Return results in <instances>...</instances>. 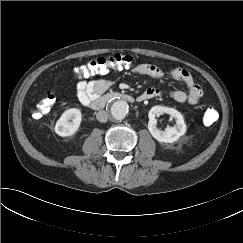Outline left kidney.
Instances as JSON below:
<instances>
[{
  "instance_id": "5707ae66",
  "label": "left kidney",
  "mask_w": 243,
  "mask_h": 243,
  "mask_svg": "<svg viewBox=\"0 0 243 243\" xmlns=\"http://www.w3.org/2000/svg\"><path fill=\"white\" fill-rule=\"evenodd\" d=\"M163 113L169 114L171 117H173L176 121V124L173 127L168 126L165 130L162 131L157 128V121L155 117ZM148 117V130L151 135L159 142L173 143L186 132V124L184 122V118L182 114L174 108L154 106L150 109Z\"/></svg>"
}]
</instances>
